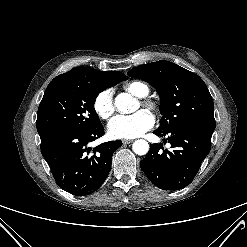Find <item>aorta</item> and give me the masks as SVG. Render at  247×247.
I'll return each instance as SVG.
<instances>
[{"label": "aorta", "instance_id": "aorta-1", "mask_svg": "<svg viewBox=\"0 0 247 247\" xmlns=\"http://www.w3.org/2000/svg\"><path fill=\"white\" fill-rule=\"evenodd\" d=\"M115 107L122 114H129L137 109L135 99L128 93H121L115 99ZM132 149L138 155H145L149 151V144L146 140H136Z\"/></svg>", "mask_w": 247, "mask_h": 247}]
</instances>
